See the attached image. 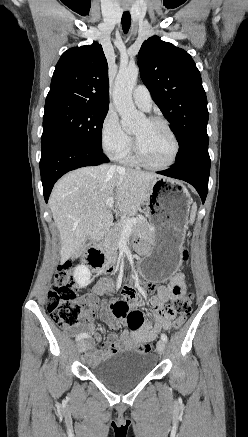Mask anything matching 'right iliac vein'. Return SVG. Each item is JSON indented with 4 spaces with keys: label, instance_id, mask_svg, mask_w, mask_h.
Wrapping results in <instances>:
<instances>
[{
    "label": "right iliac vein",
    "instance_id": "right-iliac-vein-1",
    "mask_svg": "<svg viewBox=\"0 0 248 437\" xmlns=\"http://www.w3.org/2000/svg\"><path fill=\"white\" fill-rule=\"evenodd\" d=\"M86 346H87V344H86V342L84 341V340H80L78 343H77V348H78V351L79 352H84L85 350H86Z\"/></svg>",
    "mask_w": 248,
    "mask_h": 437
}]
</instances>
